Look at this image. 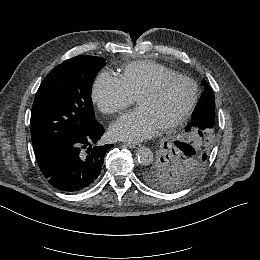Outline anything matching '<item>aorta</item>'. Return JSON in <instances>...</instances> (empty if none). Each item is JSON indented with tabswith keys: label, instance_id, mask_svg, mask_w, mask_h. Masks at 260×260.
<instances>
[{
	"label": "aorta",
	"instance_id": "obj_1",
	"mask_svg": "<svg viewBox=\"0 0 260 260\" xmlns=\"http://www.w3.org/2000/svg\"><path fill=\"white\" fill-rule=\"evenodd\" d=\"M136 159L139 164L146 166L153 161V153L149 148L141 147L136 152Z\"/></svg>",
	"mask_w": 260,
	"mask_h": 260
}]
</instances>
